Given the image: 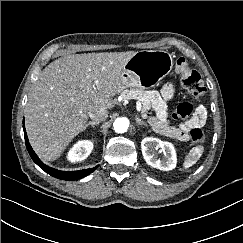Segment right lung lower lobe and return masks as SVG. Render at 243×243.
Listing matches in <instances>:
<instances>
[{"mask_svg":"<svg viewBox=\"0 0 243 243\" xmlns=\"http://www.w3.org/2000/svg\"><path fill=\"white\" fill-rule=\"evenodd\" d=\"M23 124H24V122H23ZM23 129H24L26 147H27V150H28L32 160L40 168H42L45 172H47L51 176L58 178V179H62V180H77V179H80V178L87 176L88 174H90L91 172H93L97 168V167H94L92 169H84V170H79V171H59V170L53 169L51 167H48L47 165L43 164L39 160V158L37 157V155L33 151L32 147L30 146V143L28 141L27 134H26L24 126H23Z\"/></svg>","mask_w":243,"mask_h":243,"instance_id":"1","label":"right lung lower lobe"}]
</instances>
